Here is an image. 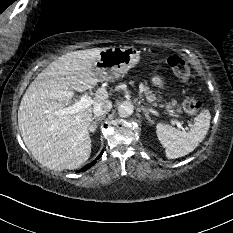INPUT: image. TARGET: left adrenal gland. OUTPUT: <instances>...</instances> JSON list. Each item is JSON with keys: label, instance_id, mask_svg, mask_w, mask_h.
<instances>
[{"label": "left adrenal gland", "instance_id": "left-adrenal-gland-1", "mask_svg": "<svg viewBox=\"0 0 233 233\" xmlns=\"http://www.w3.org/2000/svg\"><path fill=\"white\" fill-rule=\"evenodd\" d=\"M141 110L144 112L145 118H146L150 123H152V120H151V118H150V116H149V111H148L145 107H143V106H141Z\"/></svg>", "mask_w": 233, "mask_h": 233}]
</instances>
